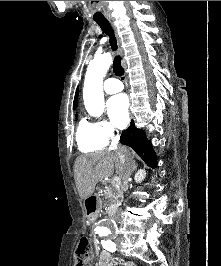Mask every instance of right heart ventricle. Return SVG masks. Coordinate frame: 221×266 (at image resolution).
I'll return each mask as SVG.
<instances>
[{
    "label": "right heart ventricle",
    "instance_id": "right-heart-ventricle-1",
    "mask_svg": "<svg viewBox=\"0 0 221 266\" xmlns=\"http://www.w3.org/2000/svg\"><path fill=\"white\" fill-rule=\"evenodd\" d=\"M76 142L82 152H95L106 147L108 141L101 136L96 123L86 119L79 121L76 131Z\"/></svg>",
    "mask_w": 221,
    "mask_h": 266
}]
</instances>
